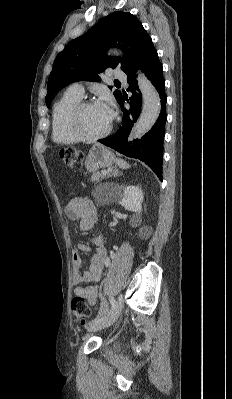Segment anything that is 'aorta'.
Returning a JSON list of instances; mask_svg holds the SVG:
<instances>
[{
	"label": "aorta",
	"mask_w": 232,
	"mask_h": 399,
	"mask_svg": "<svg viewBox=\"0 0 232 399\" xmlns=\"http://www.w3.org/2000/svg\"><path fill=\"white\" fill-rule=\"evenodd\" d=\"M137 80L142 94L143 105L140 117L131 131V137L133 138L142 137L152 128L161 109L159 94L152 83L140 72Z\"/></svg>",
	"instance_id": "1"
}]
</instances>
